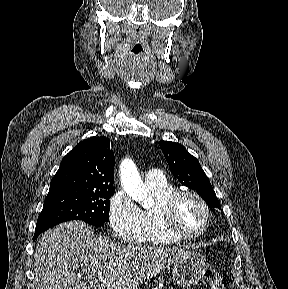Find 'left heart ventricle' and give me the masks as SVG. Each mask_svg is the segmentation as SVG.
<instances>
[{"mask_svg":"<svg viewBox=\"0 0 288 289\" xmlns=\"http://www.w3.org/2000/svg\"><path fill=\"white\" fill-rule=\"evenodd\" d=\"M175 220L180 230L194 233L199 231L205 223L204 211L194 198H183L176 206Z\"/></svg>","mask_w":288,"mask_h":289,"instance_id":"obj_1","label":"left heart ventricle"}]
</instances>
